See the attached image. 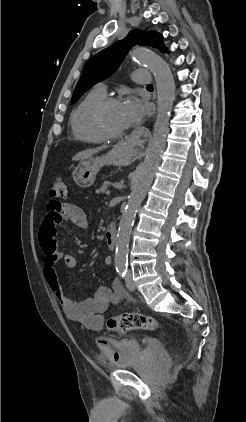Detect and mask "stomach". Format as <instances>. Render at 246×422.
<instances>
[{"instance_id":"1","label":"stomach","mask_w":246,"mask_h":422,"mask_svg":"<svg viewBox=\"0 0 246 422\" xmlns=\"http://www.w3.org/2000/svg\"><path fill=\"white\" fill-rule=\"evenodd\" d=\"M132 153L124 143H118L107 154L82 160L73 171L74 182L82 188L93 185L96 175L104 165H128Z\"/></svg>"}]
</instances>
